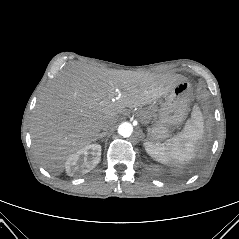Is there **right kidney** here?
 <instances>
[{"label": "right kidney", "instance_id": "ca27d5eb", "mask_svg": "<svg viewBox=\"0 0 239 239\" xmlns=\"http://www.w3.org/2000/svg\"><path fill=\"white\" fill-rule=\"evenodd\" d=\"M101 146L99 144H90L71 154L66 163L65 168L69 176L83 175L100 162Z\"/></svg>", "mask_w": 239, "mask_h": 239}]
</instances>
